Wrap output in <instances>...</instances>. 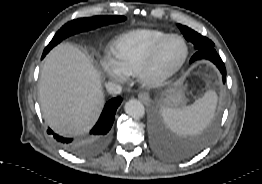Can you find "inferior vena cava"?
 <instances>
[{
	"label": "inferior vena cava",
	"mask_w": 262,
	"mask_h": 184,
	"mask_svg": "<svg viewBox=\"0 0 262 184\" xmlns=\"http://www.w3.org/2000/svg\"><path fill=\"white\" fill-rule=\"evenodd\" d=\"M106 90L109 94H112V95H117V94H120L121 91H122V87L117 84V83H114V82H108L106 84Z\"/></svg>",
	"instance_id": "1"
}]
</instances>
